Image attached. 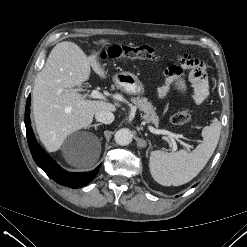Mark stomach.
<instances>
[{"instance_id": "stomach-1", "label": "stomach", "mask_w": 247, "mask_h": 247, "mask_svg": "<svg viewBox=\"0 0 247 247\" xmlns=\"http://www.w3.org/2000/svg\"><path fill=\"white\" fill-rule=\"evenodd\" d=\"M113 81L118 89L130 95H142L145 87L139 78L130 72L116 73Z\"/></svg>"}]
</instances>
